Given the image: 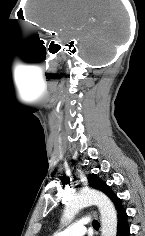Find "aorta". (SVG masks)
Instances as JSON below:
<instances>
[{"label": "aorta", "mask_w": 145, "mask_h": 236, "mask_svg": "<svg viewBox=\"0 0 145 236\" xmlns=\"http://www.w3.org/2000/svg\"><path fill=\"white\" fill-rule=\"evenodd\" d=\"M97 205L101 213L102 236H116L117 214L113 203L102 192L83 190L72 196L65 205L62 220L71 221L80 209Z\"/></svg>", "instance_id": "1"}]
</instances>
